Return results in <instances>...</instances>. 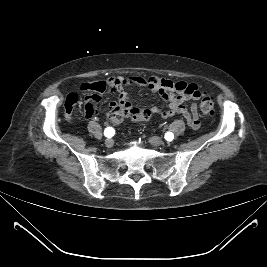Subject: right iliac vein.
<instances>
[{
    "label": "right iliac vein",
    "instance_id": "1",
    "mask_svg": "<svg viewBox=\"0 0 267 267\" xmlns=\"http://www.w3.org/2000/svg\"><path fill=\"white\" fill-rule=\"evenodd\" d=\"M113 144H114V141L112 139H106L105 140V146L106 147L110 148L113 146Z\"/></svg>",
    "mask_w": 267,
    "mask_h": 267
}]
</instances>
